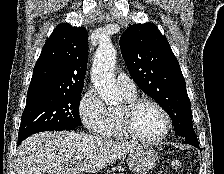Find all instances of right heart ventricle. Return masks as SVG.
I'll list each match as a JSON object with an SVG mask.
<instances>
[{
	"label": "right heart ventricle",
	"mask_w": 224,
	"mask_h": 174,
	"mask_svg": "<svg viewBox=\"0 0 224 174\" xmlns=\"http://www.w3.org/2000/svg\"><path fill=\"white\" fill-rule=\"evenodd\" d=\"M127 100H132L135 96L125 95ZM105 138L109 139H125L127 138L121 131L116 113H110V125L106 133L103 135Z\"/></svg>",
	"instance_id": "1"
}]
</instances>
